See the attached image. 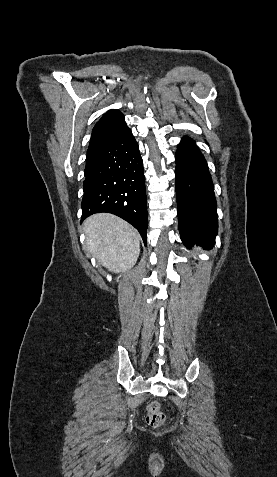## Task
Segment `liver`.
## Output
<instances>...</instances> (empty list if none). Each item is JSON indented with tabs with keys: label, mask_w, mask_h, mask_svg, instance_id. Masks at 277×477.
Masks as SVG:
<instances>
[{
	"label": "liver",
	"mask_w": 277,
	"mask_h": 477,
	"mask_svg": "<svg viewBox=\"0 0 277 477\" xmlns=\"http://www.w3.org/2000/svg\"><path fill=\"white\" fill-rule=\"evenodd\" d=\"M85 246L99 263L114 273L130 270L139 257V234L123 219L98 213L83 223Z\"/></svg>",
	"instance_id": "1"
}]
</instances>
